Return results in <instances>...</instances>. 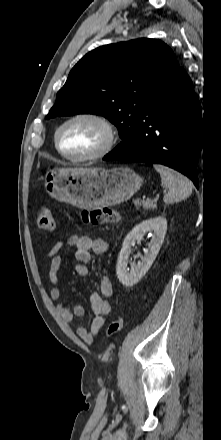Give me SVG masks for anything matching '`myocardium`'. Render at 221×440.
<instances>
[{"mask_svg": "<svg viewBox=\"0 0 221 440\" xmlns=\"http://www.w3.org/2000/svg\"><path fill=\"white\" fill-rule=\"evenodd\" d=\"M79 120H86L91 121L94 123H97L104 131V141L101 147L95 151L94 153H91L89 155L84 156H71L62 151L60 148L59 143V136L61 131L70 123L79 121ZM117 139V133L115 130V127L113 123L104 115L96 113V112H81L72 115L71 117L67 118L65 121H63L56 129L54 134V143L55 148L58 151V153L66 160L76 163L81 162H87L92 160L100 159L104 156H106L114 147Z\"/></svg>", "mask_w": 221, "mask_h": 440, "instance_id": "obj_1", "label": "myocardium"}]
</instances>
